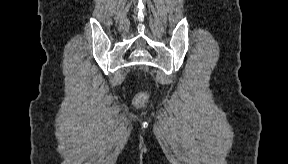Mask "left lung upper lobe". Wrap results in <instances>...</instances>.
I'll list each match as a JSON object with an SVG mask.
<instances>
[{
  "instance_id": "left-lung-upper-lobe-1",
  "label": "left lung upper lobe",
  "mask_w": 288,
  "mask_h": 164,
  "mask_svg": "<svg viewBox=\"0 0 288 164\" xmlns=\"http://www.w3.org/2000/svg\"><path fill=\"white\" fill-rule=\"evenodd\" d=\"M258 86H259V82H258V81H253V82L251 83V87H253L254 89H257Z\"/></svg>"
}]
</instances>
